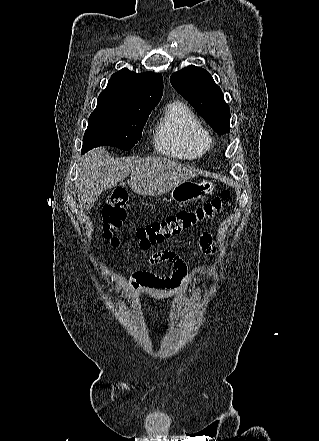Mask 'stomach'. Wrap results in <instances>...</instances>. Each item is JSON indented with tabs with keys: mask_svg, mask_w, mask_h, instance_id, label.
I'll return each instance as SVG.
<instances>
[{
	"mask_svg": "<svg viewBox=\"0 0 319 441\" xmlns=\"http://www.w3.org/2000/svg\"><path fill=\"white\" fill-rule=\"evenodd\" d=\"M214 189V183L209 180L195 182L188 179L171 190L170 200L177 204L185 205L186 203L204 199L212 195Z\"/></svg>",
	"mask_w": 319,
	"mask_h": 441,
	"instance_id": "stomach-1",
	"label": "stomach"
}]
</instances>
